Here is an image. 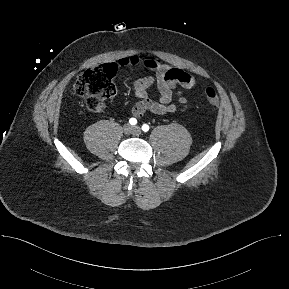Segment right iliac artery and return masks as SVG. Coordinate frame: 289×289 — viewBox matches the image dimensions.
Returning a JSON list of instances; mask_svg holds the SVG:
<instances>
[{"label": "right iliac artery", "instance_id": "right-iliac-artery-1", "mask_svg": "<svg viewBox=\"0 0 289 289\" xmlns=\"http://www.w3.org/2000/svg\"><path fill=\"white\" fill-rule=\"evenodd\" d=\"M129 123H130L131 125L137 124L136 118H130Z\"/></svg>", "mask_w": 289, "mask_h": 289}]
</instances>
